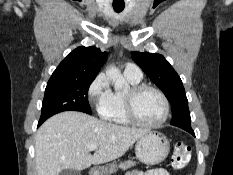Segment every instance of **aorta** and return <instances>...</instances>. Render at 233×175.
Listing matches in <instances>:
<instances>
[{"label": "aorta", "mask_w": 233, "mask_h": 175, "mask_svg": "<svg viewBox=\"0 0 233 175\" xmlns=\"http://www.w3.org/2000/svg\"><path fill=\"white\" fill-rule=\"evenodd\" d=\"M106 76L108 77V79H110L113 82L114 89L116 91L121 90L122 88L125 87L126 81L123 75L121 74L120 70L115 66H110L107 68Z\"/></svg>", "instance_id": "obj_1"}]
</instances>
